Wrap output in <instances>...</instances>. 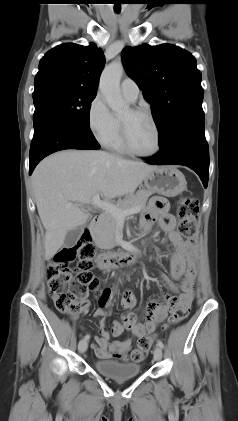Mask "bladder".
<instances>
[{"mask_svg": "<svg viewBox=\"0 0 238 421\" xmlns=\"http://www.w3.org/2000/svg\"><path fill=\"white\" fill-rule=\"evenodd\" d=\"M94 366L99 373L115 380L135 378L141 371L138 362H122L114 359H98Z\"/></svg>", "mask_w": 238, "mask_h": 421, "instance_id": "obj_1", "label": "bladder"}]
</instances>
